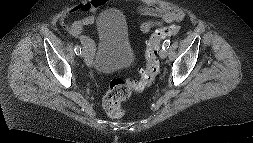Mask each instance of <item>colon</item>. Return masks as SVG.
<instances>
[{"instance_id":"colon-1","label":"colon","mask_w":253,"mask_h":143,"mask_svg":"<svg viewBox=\"0 0 253 143\" xmlns=\"http://www.w3.org/2000/svg\"><path fill=\"white\" fill-rule=\"evenodd\" d=\"M179 28L170 26L157 30L148 40L145 56L146 65L141 71L138 81H131L123 77H117L110 81L104 96L103 105L107 114L113 118L124 115L123 103L130 98L133 92H139L150 87L159 71L158 51L161 43L177 35Z\"/></svg>"}]
</instances>
